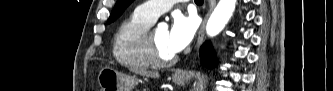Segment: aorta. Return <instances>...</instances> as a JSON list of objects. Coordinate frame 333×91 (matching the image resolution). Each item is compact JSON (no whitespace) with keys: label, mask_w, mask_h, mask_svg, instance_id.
Segmentation results:
<instances>
[{"label":"aorta","mask_w":333,"mask_h":91,"mask_svg":"<svg viewBox=\"0 0 333 91\" xmlns=\"http://www.w3.org/2000/svg\"><path fill=\"white\" fill-rule=\"evenodd\" d=\"M235 5L236 0H219L206 25L209 36H216L223 30L235 10Z\"/></svg>","instance_id":"aorta-1"}]
</instances>
